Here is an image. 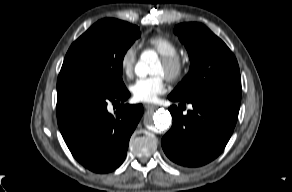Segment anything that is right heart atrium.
<instances>
[{
	"label": "right heart atrium",
	"instance_id": "right-heart-atrium-1",
	"mask_svg": "<svg viewBox=\"0 0 292 192\" xmlns=\"http://www.w3.org/2000/svg\"><path fill=\"white\" fill-rule=\"evenodd\" d=\"M137 59L136 49L133 45L128 46L121 54L119 65L126 77H132Z\"/></svg>",
	"mask_w": 292,
	"mask_h": 192
}]
</instances>
